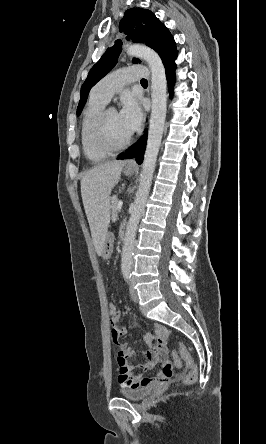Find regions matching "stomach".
Returning a JSON list of instances; mask_svg holds the SVG:
<instances>
[{"label": "stomach", "mask_w": 266, "mask_h": 444, "mask_svg": "<svg viewBox=\"0 0 266 444\" xmlns=\"http://www.w3.org/2000/svg\"><path fill=\"white\" fill-rule=\"evenodd\" d=\"M136 172V169L134 168H125L124 169V174L126 176H132L134 175ZM113 235L111 233H107L104 244H103V249H102V255L105 258H109L111 256L112 253V248H113Z\"/></svg>", "instance_id": "1"}]
</instances>
